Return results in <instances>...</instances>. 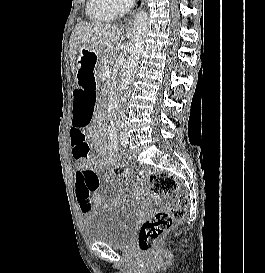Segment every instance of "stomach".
<instances>
[{"instance_id":"1","label":"stomach","mask_w":265,"mask_h":273,"mask_svg":"<svg viewBox=\"0 0 265 273\" xmlns=\"http://www.w3.org/2000/svg\"><path fill=\"white\" fill-rule=\"evenodd\" d=\"M108 49H113V44L107 45ZM101 54L94 50L82 48L77 59L78 80L76 90H96L98 80L96 79V69L99 65Z\"/></svg>"}]
</instances>
